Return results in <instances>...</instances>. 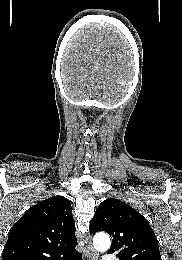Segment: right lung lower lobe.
I'll return each mask as SVG.
<instances>
[{"instance_id": "obj_1", "label": "right lung lower lobe", "mask_w": 182, "mask_h": 260, "mask_svg": "<svg viewBox=\"0 0 182 260\" xmlns=\"http://www.w3.org/2000/svg\"><path fill=\"white\" fill-rule=\"evenodd\" d=\"M63 260H82V256L80 255V253L76 252V253L64 258Z\"/></svg>"}]
</instances>
